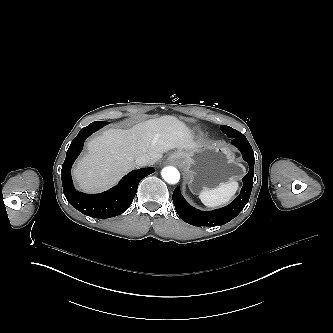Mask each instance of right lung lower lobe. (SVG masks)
I'll return each instance as SVG.
<instances>
[{"label": "right lung lower lobe", "mask_w": 333, "mask_h": 333, "mask_svg": "<svg viewBox=\"0 0 333 333\" xmlns=\"http://www.w3.org/2000/svg\"><path fill=\"white\" fill-rule=\"evenodd\" d=\"M108 123L95 121L82 128L71 142L61 170L63 192L68 202L81 213L96 218L115 217L126 211L135 197L139 182L154 172L151 167L134 170L124 176L117 186L100 194L88 195L74 189L70 173L73 162L80 154L86 138Z\"/></svg>", "instance_id": "1"}]
</instances>
